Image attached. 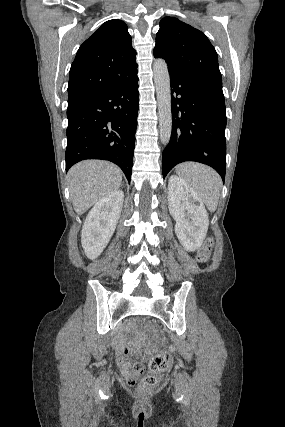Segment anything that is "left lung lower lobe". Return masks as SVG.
Listing matches in <instances>:
<instances>
[{
  "mask_svg": "<svg viewBox=\"0 0 285 427\" xmlns=\"http://www.w3.org/2000/svg\"><path fill=\"white\" fill-rule=\"evenodd\" d=\"M172 132L162 154L163 178L177 164L200 162L225 179L227 123L222 86L170 73Z\"/></svg>",
  "mask_w": 285,
  "mask_h": 427,
  "instance_id": "obj_1",
  "label": "left lung lower lobe"
}]
</instances>
